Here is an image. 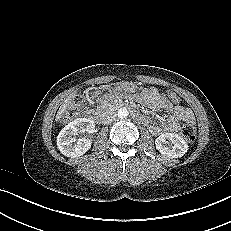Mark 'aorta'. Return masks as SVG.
<instances>
[{
	"instance_id": "obj_1",
	"label": "aorta",
	"mask_w": 231,
	"mask_h": 231,
	"mask_svg": "<svg viewBox=\"0 0 231 231\" xmlns=\"http://www.w3.org/2000/svg\"><path fill=\"white\" fill-rule=\"evenodd\" d=\"M128 110L126 108H120L117 112V115L120 119H124L128 116Z\"/></svg>"
}]
</instances>
